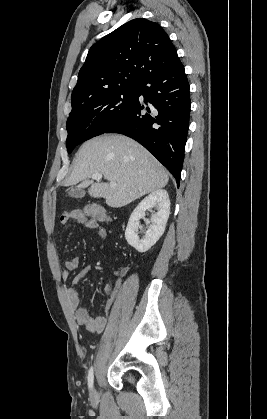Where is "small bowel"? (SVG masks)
<instances>
[{
  "label": "small bowel",
  "mask_w": 267,
  "mask_h": 419,
  "mask_svg": "<svg viewBox=\"0 0 267 419\" xmlns=\"http://www.w3.org/2000/svg\"><path fill=\"white\" fill-rule=\"evenodd\" d=\"M60 221L68 228L72 222L80 224L86 230H96L97 235L101 239H105L108 235L107 229L99 226L98 222L89 218H86L80 210H72L65 212L61 215ZM80 260L78 257H72L65 262V268L61 272L62 280H67L69 278L70 272L77 269L79 266ZM90 272L89 267L82 269L74 278L73 284L66 291L68 301L70 306L74 310V318L77 324L85 327L91 332H101L108 321V314L113 306V303L117 297L119 288L121 286L123 273L118 274V278L115 281L114 286L106 285L105 292L108 295V299L105 304V316L91 317L88 310L81 308L80 305V296L77 288L78 283L81 279L87 276Z\"/></svg>",
  "instance_id": "small-bowel-1"
}]
</instances>
